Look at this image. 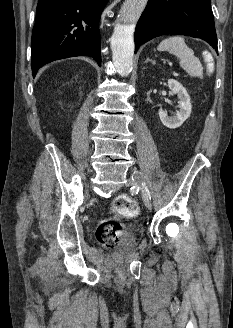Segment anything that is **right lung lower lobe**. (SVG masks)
I'll return each instance as SVG.
<instances>
[{
    "mask_svg": "<svg viewBox=\"0 0 233 328\" xmlns=\"http://www.w3.org/2000/svg\"><path fill=\"white\" fill-rule=\"evenodd\" d=\"M108 0H39L31 40L32 74L54 60L90 56L101 65L99 19Z\"/></svg>",
    "mask_w": 233,
    "mask_h": 328,
    "instance_id": "right-lung-lower-lobe-1",
    "label": "right lung lower lobe"
}]
</instances>
